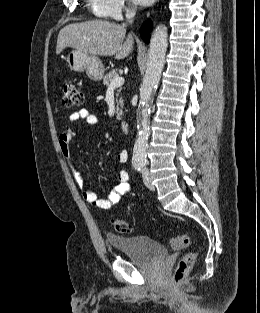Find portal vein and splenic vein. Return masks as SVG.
<instances>
[{
	"mask_svg": "<svg viewBox=\"0 0 260 313\" xmlns=\"http://www.w3.org/2000/svg\"><path fill=\"white\" fill-rule=\"evenodd\" d=\"M125 79L123 77H116L110 83L109 88H117L124 84Z\"/></svg>",
	"mask_w": 260,
	"mask_h": 313,
	"instance_id": "obj_1",
	"label": "portal vein and splenic vein"
}]
</instances>
